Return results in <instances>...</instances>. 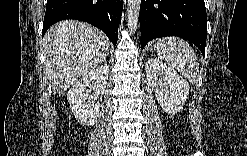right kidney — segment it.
I'll list each match as a JSON object with an SVG mask.
<instances>
[{
    "mask_svg": "<svg viewBox=\"0 0 247 156\" xmlns=\"http://www.w3.org/2000/svg\"><path fill=\"white\" fill-rule=\"evenodd\" d=\"M108 74L109 67L106 64L96 67L85 77L78 79L68 91L70 108L80 124L94 125L99 115V107L95 101L105 91ZM90 90L94 91L93 95H89Z\"/></svg>",
    "mask_w": 247,
    "mask_h": 156,
    "instance_id": "ca27d5eb",
    "label": "right kidney"
}]
</instances>
